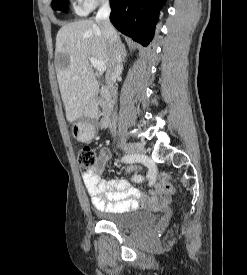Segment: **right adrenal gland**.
Instances as JSON below:
<instances>
[{
  "label": "right adrenal gland",
  "mask_w": 247,
  "mask_h": 275,
  "mask_svg": "<svg viewBox=\"0 0 247 275\" xmlns=\"http://www.w3.org/2000/svg\"><path fill=\"white\" fill-rule=\"evenodd\" d=\"M127 56L126 50H125V46L123 45V60L125 61V58Z\"/></svg>",
  "instance_id": "obj_1"
}]
</instances>
